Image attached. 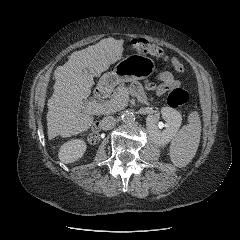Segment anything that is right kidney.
Listing matches in <instances>:
<instances>
[{
  "label": "right kidney",
  "instance_id": "1",
  "mask_svg": "<svg viewBox=\"0 0 240 240\" xmlns=\"http://www.w3.org/2000/svg\"><path fill=\"white\" fill-rule=\"evenodd\" d=\"M87 148L85 141L72 139L64 143L58 153V157L63 163H72L83 156Z\"/></svg>",
  "mask_w": 240,
  "mask_h": 240
}]
</instances>
